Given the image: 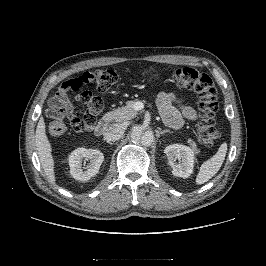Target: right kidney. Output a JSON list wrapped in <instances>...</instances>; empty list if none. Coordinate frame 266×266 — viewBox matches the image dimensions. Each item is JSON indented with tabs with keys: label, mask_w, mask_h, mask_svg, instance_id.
<instances>
[{
	"label": "right kidney",
	"mask_w": 266,
	"mask_h": 266,
	"mask_svg": "<svg viewBox=\"0 0 266 266\" xmlns=\"http://www.w3.org/2000/svg\"><path fill=\"white\" fill-rule=\"evenodd\" d=\"M83 159L90 161L86 167H82ZM68 161L72 177L79 181H87L98 173L104 155L99 150L78 148L69 155Z\"/></svg>",
	"instance_id": "right-kidney-1"
}]
</instances>
